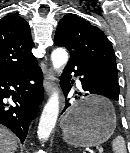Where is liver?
<instances>
[{
	"instance_id": "1",
	"label": "liver",
	"mask_w": 130,
	"mask_h": 153,
	"mask_svg": "<svg viewBox=\"0 0 130 153\" xmlns=\"http://www.w3.org/2000/svg\"><path fill=\"white\" fill-rule=\"evenodd\" d=\"M17 149L16 136L0 125V153H15Z\"/></svg>"
}]
</instances>
